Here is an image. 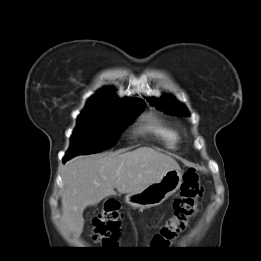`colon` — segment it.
<instances>
[{
  "label": "colon",
  "instance_id": "obj_1",
  "mask_svg": "<svg viewBox=\"0 0 261 261\" xmlns=\"http://www.w3.org/2000/svg\"><path fill=\"white\" fill-rule=\"evenodd\" d=\"M203 194V187L194 171H187L179 197L173 203L172 217L161 226L154 235L151 245L165 247L172 243L182 233L190 218L198 212V201ZM122 214L117 203H108L93 219V237L105 248L118 245Z\"/></svg>",
  "mask_w": 261,
  "mask_h": 261
}]
</instances>
